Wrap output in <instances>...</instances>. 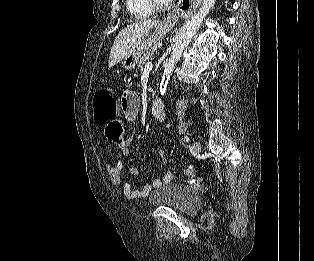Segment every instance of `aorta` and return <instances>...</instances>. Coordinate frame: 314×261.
Wrapping results in <instances>:
<instances>
[{
	"label": "aorta",
	"instance_id": "1",
	"mask_svg": "<svg viewBox=\"0 0 314 261\" xmlns=\"http://www.w3.org/2000/svg\"><path fill=\"white\" fill-rule=\"evenodd\" d=\"M216 0H203V3L190 19L182 26L180 32L176 36V41L172 46L171 56L165 66L162 79L160 82V94L163 96L166 93V88L172 75L174 66L180 60L183 50L188 46L195 33L201 27L206 16L214 7Z\"/></svg>",
	"mask_w": 314,
	"mask_h": 261
}]
</instances>
